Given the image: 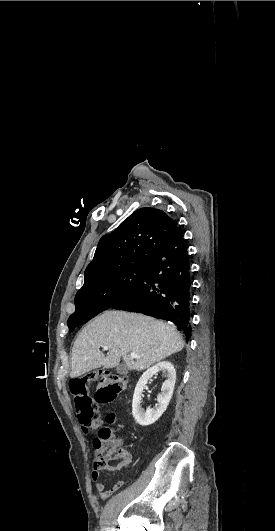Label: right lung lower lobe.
Returning a JSON list of instances; mask_svg holds the SVG:
<instances>
[{
	"label": "right lung lower lobe",
	"instance_id": "98d812e1",
	"mask_svg": "<svg viewBox=\"0 0 275 531\" xmlns=\"http://www.w3.org/2000/svg\"><path fill=\"white\" fill-rule=\"evenodd\" d=\"M190 295L188 253L183 233L177 227L146 265L143 276L132 291L111 308L170 321L189 339Z\"/></svg>",
	"mask_w": 275,
	"mask_h": 531
}]
</instances>
